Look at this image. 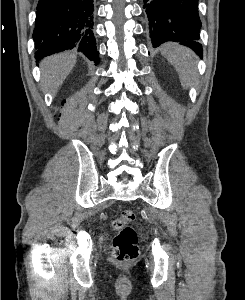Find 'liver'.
<instances>
[{
  "label": "liver",
  "instance_id": "obj_1",
  "mask_svg": "<svg viewBox=\"0 0 245 300\" xmlns=\"http://www.w3.org/2000/svg\"><path fill=\"white\" fill-rule=\"evenodd\" d=\"M76 63V55L60 53L41 63V83L44 91H57Z\"/></svg>",
  "mask_w": 245,
  "mask_h": 300
}]
</instances>
